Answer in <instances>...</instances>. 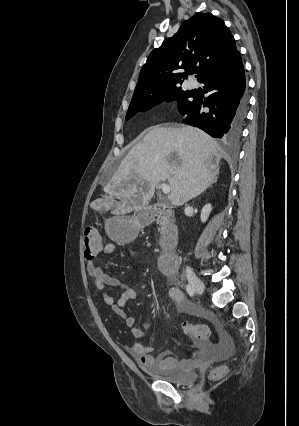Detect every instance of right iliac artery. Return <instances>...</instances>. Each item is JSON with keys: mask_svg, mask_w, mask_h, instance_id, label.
I'll return each mask as SVG.
<instances>
[{"mask_svg": "<svg viewBox=\"0 0 299 426\" xmlns=\"http://www.w3.org/2000/svg\"><path fill=\"white\" fill-rule=\"evenodd\" d=\"M186 291H187V293L190 297L194 296V290L192 289V287L189 284L186 285Z\"/></svg>", "mask_w": 299, "mask_h": 426, "instance_id": "obj_1", "label": "right iliac artery"}]
</instances>
